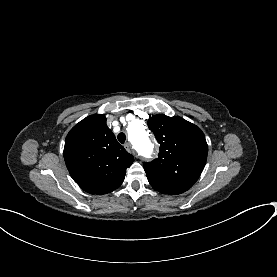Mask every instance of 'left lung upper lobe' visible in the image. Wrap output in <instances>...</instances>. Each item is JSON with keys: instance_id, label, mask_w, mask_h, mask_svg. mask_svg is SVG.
<instances>
[{"instance_id": "1", "label": "left lung upper lobe", "mask_w": 277, "mask_h": 277, "mask_svg": "<svg viewBox=\"0 0 277 277\" xmlns=\"http://www.w3.org/2000/svg\"><path fill=\"white\" fill-rule=\"evenodd\" d=\"M147 124L160 144L159 157L143 164L150 185L163 194L187 191L206 163L208 146L203 132L178 116H152Z\"/></svg>"}]
</instances>
